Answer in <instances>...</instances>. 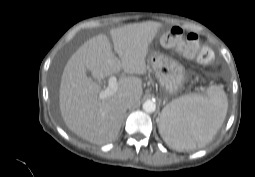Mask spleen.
I'll use <instances>...</instances> for the list:
<instances>
[{
  "label": "spleen",
  "mask_w": 255,
  "mask_h": 177,
  "mask_svg": "<svg viewBox=\"0 0 255 177\" xmlns=\"http://www.w3.org/2000/svg\"><path fill=\"white\" fill-rule=\"evenodd\" d=\"M227 108V97L217 86H211L207 96H182L163 109L160 134L169 146L178 151L203 147L222 126Z\"/></svg>",
  "instance_id": "1"
}]
</instances>
